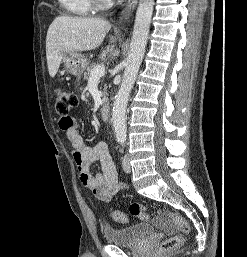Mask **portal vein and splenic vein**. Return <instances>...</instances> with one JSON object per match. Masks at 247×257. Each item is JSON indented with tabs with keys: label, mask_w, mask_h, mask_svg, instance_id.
I'll return each instance as SVG.
<instances>
[{
	"label": "portal vein and splenic vein",
	"mask_w": 247,
	"mask_h": 257,
	"mask_svg": "<svg viewBox=\"0 0 247 257\" xmlns=\"http://www.w3.org/2000/svg\"><path fill=\"white\" fill-rule=\"evenodd\" d=\"M105 75V67L103 65H97L91 72L89 81L99 80Z\"/></svg>",
	"instance_id": "obj_1"
}]
</instances>
